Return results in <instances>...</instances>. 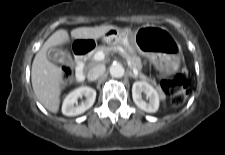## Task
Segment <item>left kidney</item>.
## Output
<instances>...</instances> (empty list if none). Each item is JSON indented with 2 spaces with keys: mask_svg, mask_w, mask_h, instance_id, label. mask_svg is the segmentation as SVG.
<instances>
[{
  "mask_svg": "<svg viewBox=\"0 0 225 155\" xmlns=\"http://www.w3.org/2000/svg\"><path fill=\"white\" fill-rule=\"evenodd\" d=\"M145 94L148 102L144 101L142 94ZM132 97L135 104L148 113H154L159 108V94L150 84L143 81L134 82L132 86Z\"/></svg>",
  "mask_w": 225,
  "mask_h": 155,
  "instance_id": "1",
  "label": "left kidney"
}]
</instances>
